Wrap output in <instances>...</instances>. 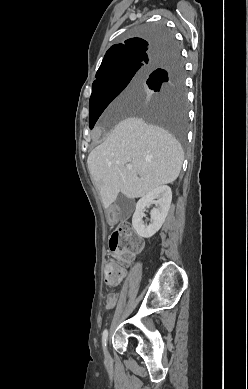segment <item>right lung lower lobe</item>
Listing matches in <instances>:
<instances>
[{
	"label": "right lung lower lobe",
	"instance_id": "obj_1",
	"mask_svg": "<svg viewBox=\"0 0 248 389\" xmlns=\"http://www.w3.org/2000/svg\"><path fill=\"white\" fill-rule=\"evenodd\" d=\"M152 42H155V43H161V44H164V46H169L170 48L167 50V51H169L170 49H172V48H174L175 46H176V44H175V42H173V43H168V42H170V41H168V40H166V39H158V40H156V41H152ZM166 51V52H167ZM165 74V71L164 70H155V71H153L151 74H150V76L149 77H153V76H163Z\"/></svg>",
	"mask_w": 248,
	"mask_h": 389
}]
</instances>
